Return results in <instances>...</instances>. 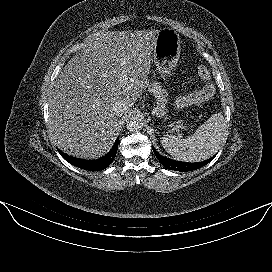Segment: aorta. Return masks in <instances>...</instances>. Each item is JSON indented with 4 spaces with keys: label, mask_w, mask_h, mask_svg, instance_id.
<instances>
[{
    "label": "aorta",
    "mask_w": 272,
    "mask_h": 272,
    "mask_svg": "<svg viewBox=\"0 0 272 272\" xmlns=\"http://www.w3.org/2000/svg\"><path fill=\"white\" fill-rule=\"evenodd\" d=\"M126 128L129 131H139L143 128V122L139 117H131L126 123Z\"/></svg>",
    "instance_id": "aorta-1"
}]
</instances>
